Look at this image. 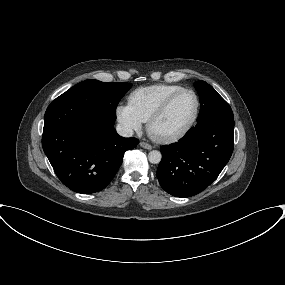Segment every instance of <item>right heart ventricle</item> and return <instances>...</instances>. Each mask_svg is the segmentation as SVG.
I'll list each match as a JSON object with an SVG mask.
<instances>
[{"label": "right heart ventricle", "instance_id": "right-heart-ventricle-1", "mask_svg": "<svg viewBox=\"0 0 285 285\" xmlns=\"http://www.w3.org/2000/svg\"><path fill=\"white\" fill-rule=\"evenodd\" d=\"M178 85L157 84L134 90L129 96V105L146 122L161 103L173 93L182 89Z\"/></svg>", "mask_w": 285, "mask_h": 285}]
</instances>
